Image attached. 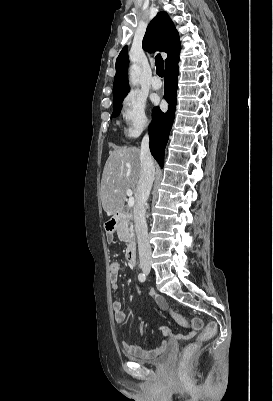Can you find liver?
<instances>
[{
  "instance_id": "1",
  "label": "liver",
  "mask_w": 273,
  "mask_h": 401,
  "mask_svg": "<svg viewBox=\"0 0 273 401\" xmlns=\"http://www.w3.org/2000/svg\"><path fill=\"white\" fill-rule=\"evenodd\" d=\"M140 176V148H115L108 156L101 180L100 198L108 217L120 213L126 201V190L132 188L135 198Z\"/></svg>"
}]
</instances>
